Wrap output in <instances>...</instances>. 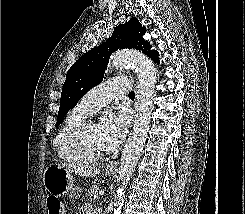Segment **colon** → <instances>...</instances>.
<instances>
[{
    "label": "colon",
    "instance_id": "1",
    "mask_svg": "<svg viewBox=\"0 0 245 214\" xmlns=\"http://www.w3.org/2000/svg\"><path fill=\"white\" fill-rule=\"evenodd\" d=\"M49 214H62L61 203L55 198H50L48 200Z\"/></svg>",
    "mask_w": 245,
    "mask_h": 214
}]
</instances>
